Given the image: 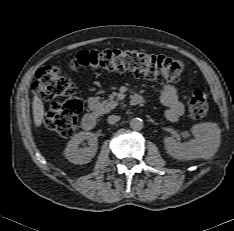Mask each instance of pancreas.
Returning a JSON list of instances; mask_svg holds the SVG:
<instances>
[{"label":"pancreas","mask_w":234,"mask_h":231,"mask_svg":"<svg viewBox=\"0 0 234 231\" xmlns=\"http://www.w3.org/2000/svg\"><path fill=\"white\" fill-rule=\"evenodd\" d=\"M118 105L117 101H103L100 102L99 97H90L88 99V107L98 115L106 114Z\"/></svg>","instance_id":"pancreas-1"}]
</instances>
